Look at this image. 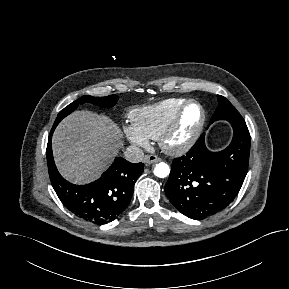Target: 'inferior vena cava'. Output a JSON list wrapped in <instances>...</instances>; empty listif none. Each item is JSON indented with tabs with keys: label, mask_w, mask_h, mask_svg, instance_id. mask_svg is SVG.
I'll return each instance as SVG.
<instances>
[{
	"label": "inferior vena cava",
	"mask_w": 289,
	"mask_h": 289,
	"mask_svg": "<svg viewBox=\"0 0 289 289\" xmlns=\"http://www.w3.org/2000/svg\"><path fill=\"white\" fill-rule=\"evenodd\" d=\"M125 159L131 163L141 162L144 158V152L142 149L136 146H129L124 151Z\"/></svg>",
	"instance_id": "602c4592"
}]
</instances>
